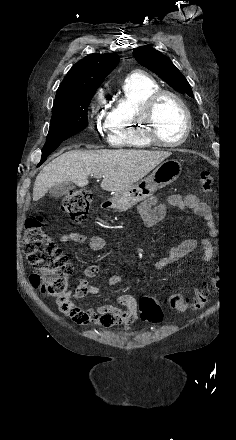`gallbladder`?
<instances>
[{
  "label": "gallbladder",
  "instance_id": "gallbladder-1",
  "mask_svg": "<svg viewBox=\"0 0 236 440\" xmlns=\"http://www.w3.org/2000/svg\"><path fill=\"white\" fill-rule=\"evenodd\" d=\"M75 188L72 182H62L52 186L49 189V196L53 198H59L66 195L70 190Z\"/></svg>",
  "mask_w": 236,
  "mask_h": 440
}]
</instances>
